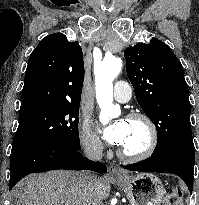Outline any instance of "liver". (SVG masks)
I'll use <instances>...</instances> for the list:
<instances>
[{"mask_svg":"<svg viewBox=\"0 0 199 205\" xmlns=\"http://www.w3.org/2000/svg\"><path fill=\"white\" fill-rule=\"evenodd\" d=\"M82 173L55 170L27 177L19 205H92L95 197L105 200L110 195V180L96 177L95 195L85 186ZM17 194V192H16Z\"/></svg>","mask_w":199,"mask_h":205,"instance_id":"1","label":"liver"}]
</instances>
